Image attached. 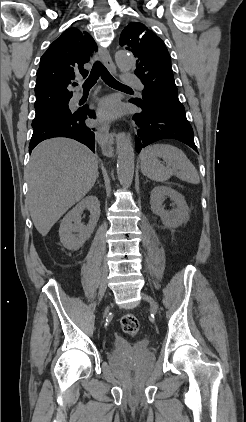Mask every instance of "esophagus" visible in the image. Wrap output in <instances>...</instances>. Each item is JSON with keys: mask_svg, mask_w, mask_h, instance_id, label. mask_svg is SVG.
I'll list each match as a JSON object with an SVG mask.
<instances>
[{"mask_svg": "<svg viewBox=\"0 0 246 422\" xmlns=\"http://www.w3.org/2000/svg\"><path fill=\"white\" fill-rule=\"evenodd\" d=\"M101 59L105 67L112 73L116 72V67L112 61L110 53L106 48H100ZM97 140L105 154H113L115 147H118L121 140L110 132L109 123L102 124L97 131Z\"/></svg>", "mask_w": 246, "mask_h": 422, "instance_id": "1", "label": "esophagus"}]
</instances>
